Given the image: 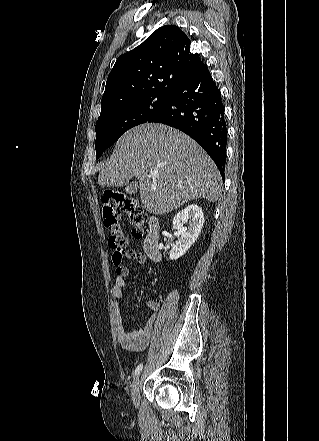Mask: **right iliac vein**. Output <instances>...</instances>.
<instances>
[{
	"mask_svg": "<svg viewBox=\"0 0 319 441\" xmlns=\"http://www.w3.org/2000/svg\"><path fill=\"white\" fill-rule=\"evenodd\" d=\"M140 387H141V381H140V378L137 377L133 382L132 390H131L132 401H133V404L136 408L139 406Z\"/></svg>",
	"mask_w": 319,
	"mask_h": 441,
	"instance_id": "63e3f726",
	"label": "right iliac vein"
}]
</instances>
